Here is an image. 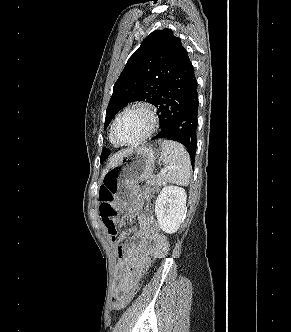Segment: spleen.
<instances>
[{"label": "spleen", "instance_id": "3e777b00", "mask_svg": "<svg viewBox=\"0 0 291 332\" xmlns=\"http://www.w3.org/2000/svg\"><path fill=\"white\" fill-rule=\"evenodd\" d=\"M161 148V160L168 167L166 181L187 186L191 178V160L185 147L178 142L164 140Z\"/></svg>", "mask_w": 291, "mask_h": 332}]
</instances>
